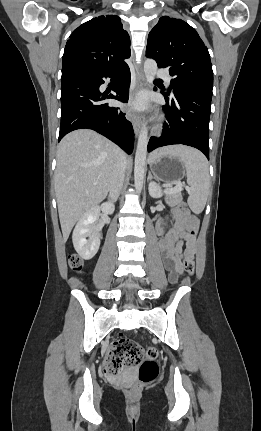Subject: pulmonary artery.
<instances>
[{
    "label": "pulmonary artery",
    "instance_id": "1",
    "mask_svg": "<svg viewBox=\"0 0 261 431\" xmlns=\"http://www.w3.org/2000/svg\"><path fill=\"white\" fill-rule=\"evenodd\" d=\"M157 76L166 80L168 83H170V81H171V76H170L169 72L165 69H159L157 71Z\"/></svg>",
    "mask_w": 261,
    "mask_h": 431
}]
</instances>
